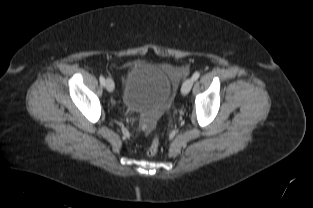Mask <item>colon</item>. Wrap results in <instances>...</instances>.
Listing matches in <instances>:
<instances>
[{
    "label": "colon",
    "mask_w": 313,
    "mask_h": 208,
    "mask_svg": "<svg viewBox=\"0 0 313 208\" xmlns=\"http://www.w3.org/2000/svg\"><path fill=\"white\" fill-rule=\"evenodd\" d=\"M159 148H160V140L158 136H155L147 148V155L148 156L156 155Z\"/></svg>",
    "instance_id": "obj_1"
}]
</instances>
